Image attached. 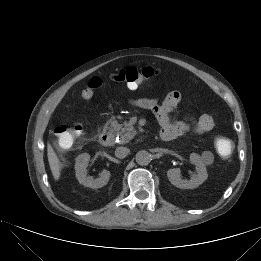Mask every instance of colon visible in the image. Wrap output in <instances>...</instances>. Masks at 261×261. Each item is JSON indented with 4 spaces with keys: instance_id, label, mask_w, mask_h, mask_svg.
I'll return each instance as SVG.
<instances>
[{
    "instance_id": "colon-1",
    "label": "colon",
    "mask_w": 261,
    "mask_h": 261,
    "mask_svg": "<svg viewBox=\"0 0 261 261\" xmlns=\"http://www.w3.org/2000/svg\"><path fill=\"white\" fill-rule=\"evenodd\" d=\"M155 75H157V71L151 67L139 69L131 66L113 73L110 78L117 83L125 85H140ZM103 82L101 77L90 79L82 91V97L86 100L92 98L94 92L102 86ZM54 133L59 146L61 148H69L82 135L83 127L80 124L73 126L61 125L55 128ZM215 148L221 157L229 158L234 151V143L227 137L217 136L215 138Z\"/></svg>"
}]
</instances>
